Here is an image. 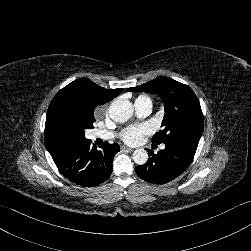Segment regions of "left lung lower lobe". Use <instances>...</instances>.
Listing matches in <instances>:
<instances>
[{"mask_svg":"<svg viewBox=\"0 0 251 251\" xmlns=\"http://www.w3.org/2000/svg\"><path fill=\"white\" fill-rule=\"evenodd\" d=\"M198 144L187 140H174L165 149L154 154L144 165L135 167L137 175L148 183L164 184L182 174L192 162Z\"/></svg>","mask_w":251,"mask_h":251,"instance_id":"left-lung-lower-lobe-1","label":"left lung lower lobe"}]
</instances>
